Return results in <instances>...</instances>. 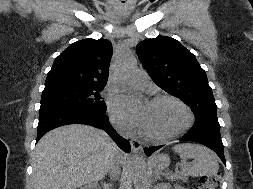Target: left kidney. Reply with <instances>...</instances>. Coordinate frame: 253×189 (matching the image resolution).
<instances>
[{
  "mask_svg": "<svg viewBox=\"0 0 253 189\" xmlns=\"http://www.w3.org/2000/svg\"><path fill=\"white\" fill-rule=\"evenodd\" d=\"M155 189H172L169 184H159L155 187ZM175 189H185L182 186L175 185Z\"/></svg>",
  "mask_w": 253,
  "mask_h": 189,
  "instance_id": "obj_1",
  "label": "left kidney"
}]
</instances>
